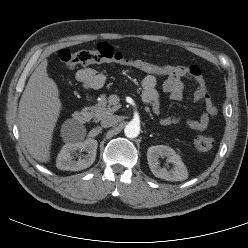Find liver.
I'll list each match as a JSON object with an SVG mask.
<instances>
[{"label":"liver","instance_id":"6515ba94","mask_svg":"<svg viewBox=\"0 0 248 248\" xmlns=\"http://www.w3.org/2000/svg\"><path fill=\"white\" fill-rule=\"evenodd\" d=\"M47 65L44 59L32 73L18 108L22 140L30 155L42 163L50 159L52 136L62 107L58 87L48 76Z\"/></svg>","mask_w":248,"mask_h":248}]
</instances>
